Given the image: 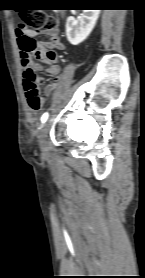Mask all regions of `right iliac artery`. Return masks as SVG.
Wrapping results in <instances>:
<instances>
[{"label":"right iliac artery","instance_id":"1","mask_svg":"<svg viewBox=\"0 0 145 278\" xmlns=\"http://www.w3.org/2000/svg\"><path fill=\"white\" fill-rule=\"evenodd\" d=\"M47 118H48V113L46 112L43 114V116L41 118L42 123H44L47 120Z\"/></svg>","mask_w":145,"mask_h":278}]
</instances>
